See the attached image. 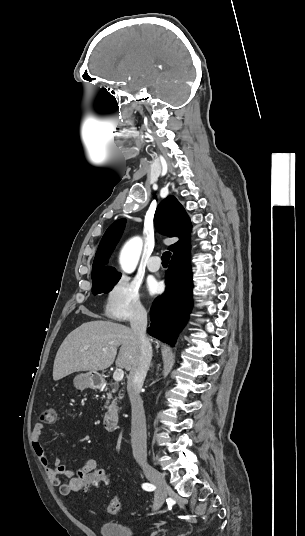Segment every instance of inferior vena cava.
<instances>
[{
    "mask_svg": "<svg viewBox=\"0 0 305 536\" xmlns=\"http://www.w3.org/2000/svg\"><path fill=\"white\" fill-rule=\"evenodd\" d=\"M130 326L131 330L137 336L140 348L139 362L136 368H132L127 382V392L132 410L131 444L134 458H137V460H146V418L140 392L149 370L152 348L148 338H146L147 312L143 306L134 308V314L130 318Z\"/></svg>",
    "mask_w": 305,
    "mask_h": 536,
    "instance_id": "obj_1",
    "label": "inferior vena cava"
}]
</instances>
